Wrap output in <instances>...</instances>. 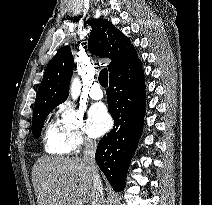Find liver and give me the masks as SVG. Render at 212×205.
Here are the masks:
<instances>
[{"mask_svg": "<svg viewBox=\"0 0 212 205\" xmlns=\"http://www.w3.org/2000/svg\"><path fill=\"white\" fill-rule=\"evenodd\" d=\"M32 177L38 205H78L93 199V171L81 158L43 156Z\"/></svg>", "mask_w": 212, "mask_h": 205, "instance_id": "6515ba94", "label": "liver"}]
</instances>
